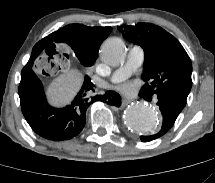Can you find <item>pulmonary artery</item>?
<instances>
[{"label":"pulmonary artery","mask_w":215,"mask_h":183,"mask_svg":"<svg viewBox=\"0 0 215 183\" xmlns=\"http://www.w3.org/2000/svg\"><path fill=\"white\" fill-rule=\"evenodd\" d=\"M143 61V48L138 45L133 46L129 51L126 63L113 73L111 80L114 82L125 80L142 65Z\"/></svg>","instance_id":"1"}]
</instances>
